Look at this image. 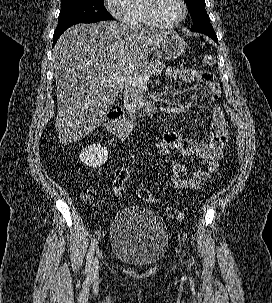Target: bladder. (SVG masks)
Returning <instances> with one entry per match:
<instances>
[{
    "instance_id": "bladder-1",
    "label": "bladder",
    "mask_w": 272,
    "mask_h": 303,
    "mask_svg": "<svg viewBox=\"0 0 272 303\" xmlns=\"http://www.w3.org/2000/svg\"><path fill=\"white\" fill-rule=\"evenodd\" d=\"M109 233L112 255L131 266H154L168 249L167 225L159 213L147 207L133 205L117 211Z\"/></svg>"
}]
</instances>
